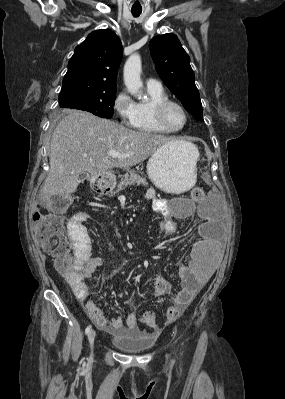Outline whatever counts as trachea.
<instances>
[{"label":"trachea","instance_id":"3493384b","mask_svg":"<svg viewBox=\"0 0 285 399\" xmlns=\"http://www.w3.org/2000/svg\"><path fill=\"white\" fill-rule=\"evenodd\" d=\"M141 12H142L141 10H133V9L131 10V13L134 17L140 16Z\"/></svg>","mask_w":285,"mask_h":399}]
</instances>
